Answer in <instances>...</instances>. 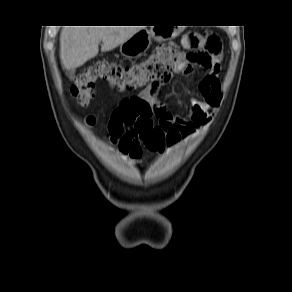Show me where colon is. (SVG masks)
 Listing matches in <instances>:
<instances>
[{
    "label": "colon",
    "mask_w": 292,
    "mask_h": 292,
    "mask_svg": "<svg viewBox=\"0 0 292 292\" xmlns=\"http://www.w3.org/2000/svg\"><path fill=\"white\" fill-rule=\"evenodd\" d=\"M183 41L191 49L200 48L203 42L210 47L220 43L214 34L202 38L196 33L186 34ZM197 57L198 54L183 57L175 44H164L139 63L125 65L100 60L76 76L71 92L80 105L87 106L94 99V89L99 81L120 91L146 86L139 95L120 102L111 114L108 131L112 140L117 141L126 127L135 126L141 133L144 147L152 153L160 152L163 134L154 123L162 105L160 83L167 80L175 70L189 71V62Z\"/></svg>",
    "instance_id": "5ec220e1"
}]
</instances>
